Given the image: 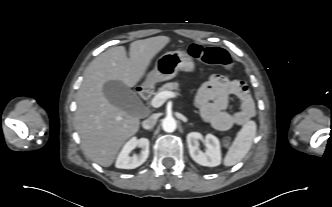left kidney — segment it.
I'll return each mask as SVG.
<instances>
[{"label":"left kidney","instance_id":"5707ae66","mask_svg":"<svg viewBox=\"0 0 332 207\" xmlns=\"http://www.w3.org/2000/svg\"><path fill=\"white\" fill-rule=\"evenodd\" d=\"M203 136L199 132H191L187 135V144L191 158L202 166L215 167L221 163L220 142L217 137L212 134H207L204 142L206 151L203 152L198 147V141L202 140Z\"/></svg>","mask_w":332,"mask_h":207}]
</instances>
